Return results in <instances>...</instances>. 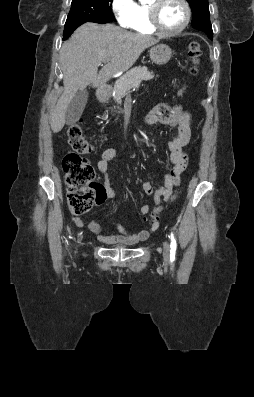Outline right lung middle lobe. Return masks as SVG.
Returning <instances> with one entry per match:
<instances>
[{"label":"right lung middle lobe","instance_id":"obj_1","mask_svg":"<svg viewBox=\"0 0 254 397\" xmlns=\"http://www.w3.org/2000/svg\"><path fill=\"white\" fill-rule=\"evenodd\" d=\"M111 3L112 0H72L71 9L65 24L77 21L100 24L111 22Z\"/></svg>","mask_w":254,"mask_h":397}]
</instances>
